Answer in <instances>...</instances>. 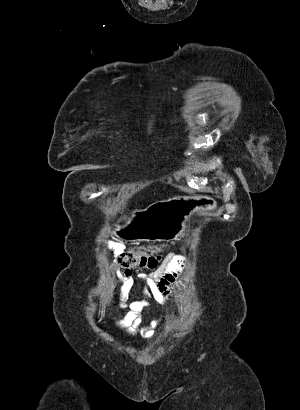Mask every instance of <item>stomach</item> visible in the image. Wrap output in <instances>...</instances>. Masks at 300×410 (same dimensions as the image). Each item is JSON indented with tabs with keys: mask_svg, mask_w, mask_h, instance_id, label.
<instances>
[{
	"mask_svg": "<svg viewBox=\"0 0 300 410\" xmlns=\"http://www.w3.org/2000/svg\"><path fill=\"white\" fill-rule=\"evenodd\" d=\"M217 209L210 196L194 195L158 202L144 210L132 212L123 225L114 229L125 241H171L183 235L186 222L195 212Z\"/></svg>",
	"mask_w": 300,
	"mask_h": 410,
	"instance_id": "stomach-1",
	"label": "stomach"
}]
</instances>
